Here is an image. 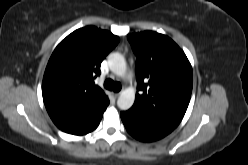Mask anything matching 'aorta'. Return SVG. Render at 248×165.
Instances as JSON below:
<instances>
[{
	"instance_id": "762f6f07",
	"label": "aorta",
	"mask_w": 248,
	"mask_h": 165,
	"mask_svg": "<svg viewBox=\"0 0 248 165\" xmlns=\"http://www.w3.org/2000/svg\"><path fill=\"white\" fill-rule=\"evenodd\" d=\"M108 65L110 70L118 75L124 76L127 70L125 58L120 53H111L108 55ZM135 101V90L127 88L120 93L117 105L121 110H128Z\"/></svg>"
}]
</instances>
